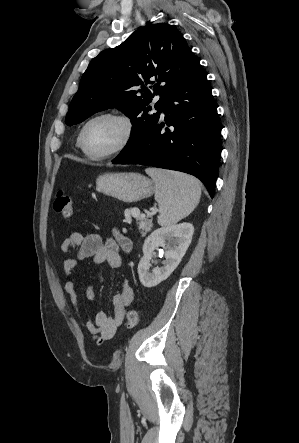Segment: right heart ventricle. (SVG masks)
<instances>
[{
    "instance_id": "obj_1",
    "label": "right heart ventricle",
    "mask_w": 299,
    "mask_h": 443,
    "mask_svg": "<svg viewBox=\"0 0 299 443\" xmlns=\"http://www.w3.org/2000/svg\"><path fill=\"white\" fill-rule=\"evenodd\" d=\"M78 139H79V136H78V138H77V143H76V144H77V146H79V144H78Z\"/></svg>"
}]
</instances>
